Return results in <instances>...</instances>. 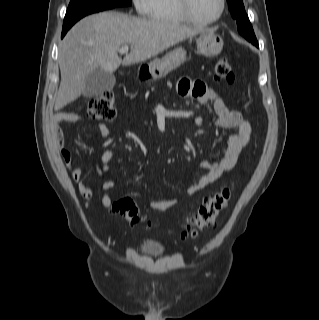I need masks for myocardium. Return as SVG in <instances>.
I'll use <instances>...</instances> for the list:
<instances>
[{
    "instance_id": "obj_1",
    "label": "myocardium",
    "mask_w": 319,
    "mask_h": 320,
    "mask_svg": "<svg viewBox=\"0 0 319 320\" xmlns=\"http://www.w3.org/2000/svg\"><path fill=\"white\" fill-rule=\"evenodd\" d=\"M178 3L181 12L190 23L202 26L211 25L219 22L222 19L226 10V0H220V10L218 15L212 19L203 20L197 18L194 14L192 9V0H178Z\"/></svg>"
}]
</instances>
